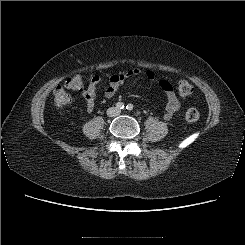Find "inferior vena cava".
I'll use <instances>...</instances> for the list:
<instances>
[{"label": "inferior vena cava", "mask_w": 245, "mask_h": 245, "mask_svg": "<svg viewBox=\"0 0 245 245\" xmlns=\"http://www.w3.org/2000/svg\"><path fill=\"white\" fill-rule=\"evenodd\" d=\"M107 112H108V115L111 117H115L120 114V110L115 107L109 108Z\"/></svg>", "instance_id": "1"}]
</instances>
